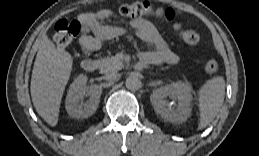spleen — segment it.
Wrapping results in <instances>:
<instances>
[{
    "label": "spleen",
    "instance_id": "spleen-1",
    "mask_svg": "<svg viewBox=\"0 0 259 156\" xmlns=\"http://www.w3.org/2000/svg\"><path fill=\"white\" fill-rule=\"evenodd\" d=\"M225 97V80L222 76L208 80L199 90L197 101L200 111L199 129L209 125L220 111Z\"/></svg>",
    "mask_w": 259,
    "mask_h": 156
}]
</instances>
